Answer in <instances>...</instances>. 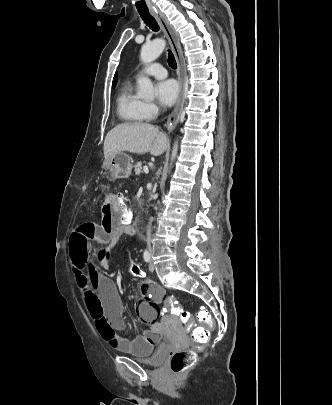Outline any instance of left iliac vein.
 <instances>
[{
    "instance_id": "1",
    "label": "left iliac vein",
    "mask_w": 332,
    "mask_h": 405,
    "mask_svg": "<svg viewBox=\"0 0 332 405\" xmlns=\"http://www.w3.org/2000/svg\"><path fill=\"white\" fill-rule=\"evenodd\" d=\"M149 270L152 271V272L155 270V266H154V263H153L152 259L150 260Z\"/></svg>"
}]
</instances>
